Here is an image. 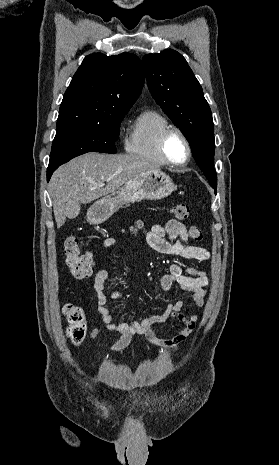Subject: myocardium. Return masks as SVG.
<instances>
[{"instance_id": "obj_1", "label": "myocardium", "mask_w": 279, "mask_h": 465, "mask_svg": "<svg viewBox=\"0 0 279 465\" xmlns=\"http://www.w3.org/2000/svg\"><path fill=\"white\" fill-rule=\"evenodd\" d=\"M173 134H177L179 135L182 140L184 141L185 145H186V148H187V156L185 158L184 161L180 162V163H176L174 161H172L168 154H167V151H166V144H167V141L169 139V137ZM158 146H159V151H160V154L161 156L163 157V159L165 160V162L171 166H174V167H182V166H185L191 159L192 157V146H191V143H190V140L188 139L187 135L179 128H176V127H170L168 129H166L160 136L159 138V143H158Z\"/></svg>"}]
</instances>
